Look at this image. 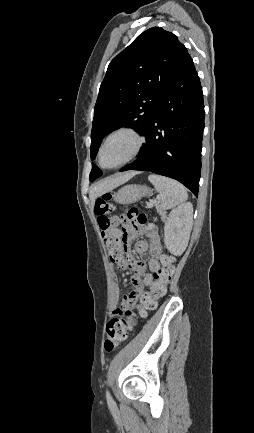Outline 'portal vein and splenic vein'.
I'll return each instance as SVG.
<instances>
[{"instance_id":"obj_1","label":"portal vein and splenic vein","mask_w":254,"mask_h":433,"mask_svg":"<svg viewBox=\"0 0 254 433\" xmlns=\"http://www.w3.org/2000/svg\"><path fill=\"white\" fill-rule=\"evenodd\" d=\"M148 206H149V207H152V206H153V203H149Z\"/></svg>"}]
</instances>
